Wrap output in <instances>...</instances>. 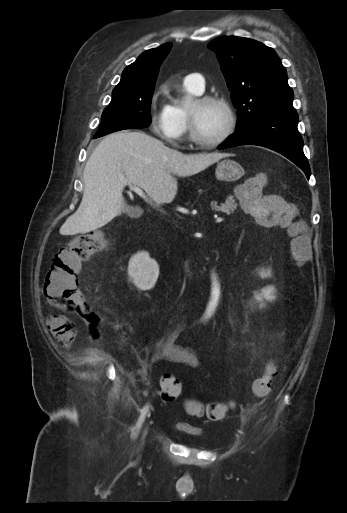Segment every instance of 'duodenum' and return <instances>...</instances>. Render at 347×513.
Listing matches in <instances>:
<instances>
[{"label": "duodenum", "mask_w": 347, "mask_h": 513, "mask_svg": "<svg viewBox=\"0 0 347 513\" xmlns=\"http://www.w3.org/2000/svg\"><path fill=\"white\" fill-rule=\"evenodd\" d=\"M186 271H189V269H188V265H186Z\"/></svg>", "instance_id": "duodenum-1"}]
</instances>
